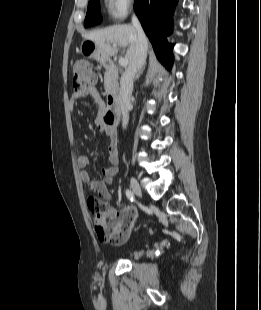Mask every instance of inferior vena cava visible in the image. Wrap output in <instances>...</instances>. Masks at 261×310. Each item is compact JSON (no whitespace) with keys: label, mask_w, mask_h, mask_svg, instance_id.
Returning <instances> with one entry per match:
<instances>
[{"label":"inferior vena cava","mask_w":261,"mask_h":310,"mask_svg":"<svg viewBox=\"0 0 261 310\" xmlns=\"http://www.w3.org/2000/svg\"><path fill=\"white\" fill-rule=\"evenodd\" d=\"M132 24L137 31L135 53L129 63V66L121 76L118 100L119 108L122 114L123 128H126L129 121L133 81L137 73L143 68L147 56V38L136 15L132 16Z\"/></svg>","instance_id":"1"}]
</instances>
